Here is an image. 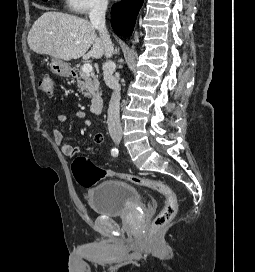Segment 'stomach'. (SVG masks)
<instances>
[{
    "label": "stomach",
    "mask_w": 255,
    "mask_h": 272,
    "mask_svg": "<svg viewBox=\"0 0 255 272\" xmlns=\"http://www.w3.org/2000/svg\"><path fill=\"white\" fill-rule=\"evenodd\" d=\"M50 70L52 73L63 77H69L72 74L70 65L63 60L56 58H52Z\"/></svg>",
    "instance_id": "obj_1"
}]
</instances>
